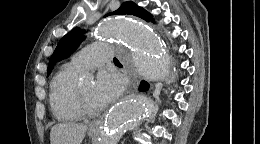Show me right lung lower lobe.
<instances>
[{
    "label": "right lung lower lobe",
    "mask_w": 260,
    "mask_h": 144,
    "mask_svg": "<svg viewBox=\"0 0 260 144\" xmlns=\"http://www.w3.org/2000/svg\"><path fill=\"white\" fill-rule=\"evenodd\" d=\"M148 88H149V84L145 81H142L141 84H140L139 90L140 91H146V90H148Z\"/></svg>",
    "instance_id": "obj_1"
}]
</instances>
